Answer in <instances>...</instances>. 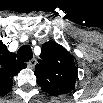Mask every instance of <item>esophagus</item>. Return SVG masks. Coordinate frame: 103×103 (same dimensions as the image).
I'll list each match as a JSON object with an SVG mask.
<instances>
[{
	"label": "esophagus",
	"mask_w": 103,
	"mask_h": 103,
	"mask_svg": "<svg viewBox=\"0 0 103 103\" xmlns=\"http://www.w3.org/2000/svg\"><path fill=\"white\" fill-rule=\"evenodd\" d=\"M37 64V60L35 58H32L29 62H28V67L33 69Z\"/></svg>",
	"instance_id": "1"
}]
</instances>
